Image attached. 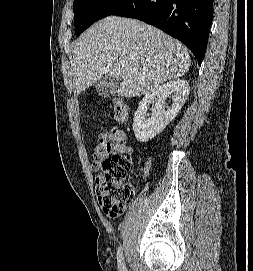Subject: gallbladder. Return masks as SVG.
Listing matches in <instances>:
<instances>
[{
  "label": "gallbladder",
  "instance_id": "1",
  "mask_svg": "<svg viewBox=\"0 0 253 271\" xmlns=\"http://www.w3.org/2000/svg\"><path fill=\"white\" fill-rule=\"evenodd\" d=\"M118 85L119 81L116 78L104 76L96 84V91L101 97L109 98L116 95Z\"/></svg>",
  "mask_w": 253,
  "mask_h": 271
}]
</instances>
